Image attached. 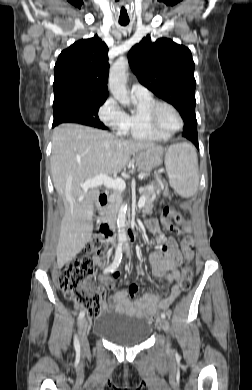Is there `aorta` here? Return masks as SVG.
<instances>
[{
	"mask_svg": "<svg viewBox=\"0 0 252 390\" xmlns=\"http://www.w3.org/2000/svg\"><path fill=\"white\" fill-rule=\"evenodd\" d=\"M127 69L128 60L124 57L119 58L110 68L108 88L115 99L122 105H130V98L127 92ZM126 213L127 204L121 205L118 217H117V228H118V241L120 243L127 242L126 234Z\"/></svg>",
	"mask_w": 252,
	"mask_h": 390,
	"instance_id": "obj_1",
	"label": "aorta"
}]
</instances>
